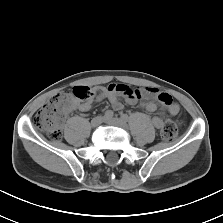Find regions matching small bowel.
<instances>
[{
	"instance_id": "small-bowel-1",
	"label": "small bowel",
	"mask_w": 223,
	"mask_h": 223,
	"mask_svg": "<svg viewBox=\"0 0 223 223\" xmlns=\"http://www.w3.org/2000/svg\"><path fill=\"white\" fill-rule=\"evenodd\" d=\"M96 93L93 100L85 102H74L73 109L81 112H87L91 109L93 101L101 102L107 99L113 109L119 111L123 109V103L120 100V96H124L126 101L131 104H139L143 109L148 112H155L158 109V104L163 110H167L170 117H174L179 112V106L173 102L172 97L165 92H160L153 87H144L133 90L128 85L123 83H112L107 87L98 86L94 88ZM129 91H133L134 94H128ZM152 97L156 101L144 100L145 98ZM152 123L156 128H161L164 123V118L160 115L153 117Z\"/></svg>"
}]
</instances>
